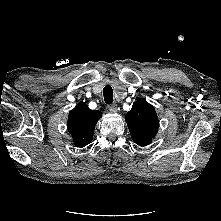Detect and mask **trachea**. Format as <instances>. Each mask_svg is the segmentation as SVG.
<instances>
[{
    "instance_id": "obj_1",
    "label": "trachea",
    "mask_w": 221,
    "mask_h": 221,
    "mask_svg": "<svg viewBox=\"0 0 221 221\" xmlns=\"http://www.w3.org/2000/svg\"><path fill=\"white\" fill-rule=\"evenodd\" d=\"M103 96H104V101L107 104H112L113 102V89L110 85H107L103 89Z\"/></svg>"
}]
</instances>
